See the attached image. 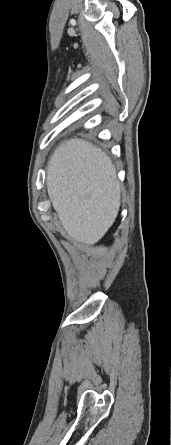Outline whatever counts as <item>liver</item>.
Segmentation results:
<instances>
[{
	"label": "liver",
	"instance_id": "6515ba94",
	"mask_svg": "<svg viewBox=\"0 0 171 445\" xmlns=\"http://www.w3.org/2000/svg\"><path fill=\"white\" fill-rule=\"evenodd\" d=\"M47 190L68 236L98 242L120 208V183L110 158L82 139L61 143L47 166Z\"/></svg>",
	"mask_w": 171,
	"mask_h": 445
}]
</instances>
